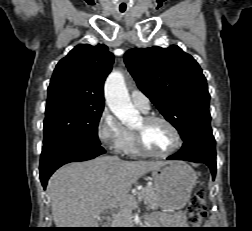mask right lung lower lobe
I'll return each mask as SVG.
<instances>
[{
  "label": "right lung lower lobe",
  "mask_w": 252,
  "mask_h": 231,
  "mask_svg": "<svg viewBox=\"0 0 252 231\" xmlns=\"http://www.w3.org/2000/svg\"><path fill=\"white\" fill-rule=\"evenodd\" d=\"M104 152L100 145L82 141H62L43 148L39 170L44 189L49 177L60 166L69 162L90 160Z\"/></svg>",
  "instance_id": "98d812e1"
}]
</instances>
